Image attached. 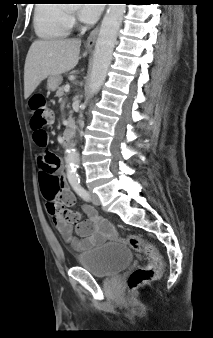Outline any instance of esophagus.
<instances>
[{"mask_svg": "<svg viewBox=\"0 0 213 338\" xmlns=\"http://www.w3.org/2000/svg\"><path fill=\"white\" fill-rule=\"evenodd\" d=\"M98 32H99V25L95 29H93L90 35L88 36L86 43H85L87 47H92L95 44Z\"/></svg>", "mask_w": 213, "mask_h": 338, "instance_id": "esophagus-1", "label": "esophagus"}]
</instances>
